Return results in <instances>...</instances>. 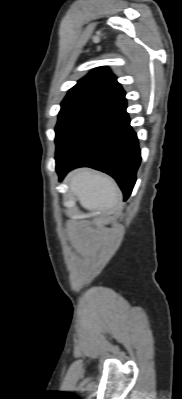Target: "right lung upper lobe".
I'll return each mask as SVG.
<instances>
[{
  "instance_id": "cb5924a9",
  "label": "right lung upper lobe",
  "mask_w": 182,
  "mask_h": 399,
  "mask_svg": "<svg viewBox=\"0 0 182 399\" xmlns=\"http://www.w3.org/2000/svg\"><path fill=\"white\" fill-rule=\"evenodd\" d=\"M84 96L106 104L125 96L116 77L105 67L92 70L69 90L67 97Z\"/></svg>"
}]
</instances>
